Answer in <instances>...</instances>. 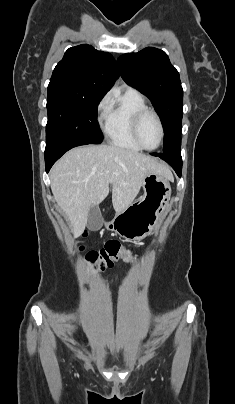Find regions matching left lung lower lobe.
<instances>
[{"label": "left lung lower lobe", "instance_id": "obj_1", "mask_svg": "<svg viewBox=\"0 0 235 404\" xmlns=\"http://www.w3.org/2000/svg\"><path fill=\"white\" fill-rule=\"evenodd\" d=\"M153 156H158L167 163H169L175 170L177 175L181 177L182 174V157L180 153H152Z\"/></svg>", "mask_w": 235, "mask_h": 404}]
</instances>
